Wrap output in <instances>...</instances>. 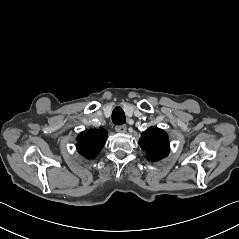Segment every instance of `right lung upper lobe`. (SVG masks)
I'll list each match as a JSON object with an SVG mask.
<instances>
[{
	"label": "right lung upper lobe",
	"mask_w": 239,
	"mask_h": 239,
	"mask_svg": "<svg viewBox=\"0 0 239 239\" xmlns=\"http://www.w3.org/2000/svg\"><path fill=\"white\" fill-rule=\"evenodd\" d=\"M106 139L107 132L102 128L86 130L77 137V149L85 158L93 159L103 148Z\"/></svg>",
	"instance_id": "right-lung-upper-lobe-1"
}]
</instances>
